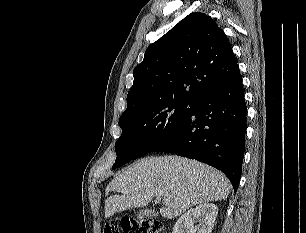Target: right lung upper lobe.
<instances>
[{
  "instance_id": "1",
  "label": "right lung upper lobe",
  "mask_w": 306,
  "mask_h": 233,
  "mask_svg": "<svg viewBox=\"0 0 306 233\" xmlns=\"http://www.w3.org/2000/svg\"><path fill=\"white\" fill-rule=\"evenodd\" d=\"M240 75L224 32L204 13H191L150 45L133 70L134 81L122 114L159 100L200 102Z\"/></svg>"
}]
</instances>
